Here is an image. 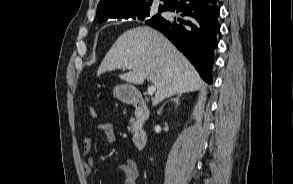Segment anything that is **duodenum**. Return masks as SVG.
<instances>
[{"label":"duodenum","instance_id":"obj_1","mask_svg":"<svg viewBox=\"0 0 293 184\" xmlns=\"http://www.w3.org/2000/svg\"><path fill=\"white\" fill-rule=\"evenodd\" d=\"M131 103L133 104L135 108L136 117L139 122H143L146 120L149 116V107L146 102V100L143 98V96L139 93H134L130 97ZM132 141L134 146L141 150L144 148V146L147 143V132L146 130L141 126L138 125L132 135Z\"/></svg>","mask_w":293,"mask_h":184}]
</instances>
